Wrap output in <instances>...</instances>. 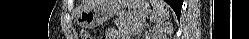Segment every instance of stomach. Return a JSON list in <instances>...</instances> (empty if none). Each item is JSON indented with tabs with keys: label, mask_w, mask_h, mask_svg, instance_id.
I'll list each match as a JSON object with an SVG mask.
<instances>
[{
	"label": "stomach",
	"mask_w": 249,
	"mask_h": 39,
	"mask_svg": "<svg viewBox=\"0 0 249 39\" xmlns=\"http://www.w3.org/2000/svg\"><path fill=\"white\" fill-rule=\"evenodd\" d=\"M150 13L147 0H116L113 4H96L83 10L78 17V24L87 29L96 28L113 16L143 21Z\"/></svg>",
	"instance_id": "0dacf381"
}]
</instances>
